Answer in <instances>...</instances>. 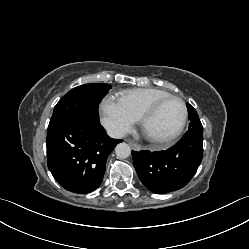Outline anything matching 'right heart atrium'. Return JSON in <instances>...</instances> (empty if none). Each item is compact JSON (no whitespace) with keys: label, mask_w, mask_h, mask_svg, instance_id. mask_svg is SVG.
<instances>
[{"label":"right heart atrium","mask_w":249,"mask_h":249,"mask_svg":"<svg viewBox=\"0 0 249 249\" xmlns=\"http://www.w3.org/2000/svg\"><path fill=\"white\" fill-rule=\"evenodd\" d=\"M99 113L102 124L116 137L129 133L139 119L119 98L111 95L101 100Z\"/></svg>","instance_id":"right-heart-atrium-1"}]
</instances>
